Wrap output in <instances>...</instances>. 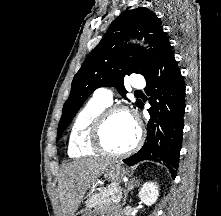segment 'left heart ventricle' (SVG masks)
Returning <instances> with one entry per match:
<instances>
[{"label":"left heart ventricle","mask_w":221,"mask_h":216,"mask_svg":"<svg viewBox=\"0 0 221 216\" xmlns=\"http://www.w3.org/2000/svg\"><path fill=\"white\" fill-rule=\"evenodd\" d=\"M136 137V127L125 113L112 115L103 131V143L112 151L125 150L136 140Z\"/></svg>","instance_id":"b2bd125f"}]
</instances>
